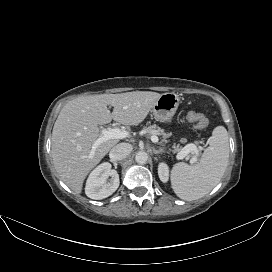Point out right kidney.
I'll return each mask as SVG.
<instances>
[{"instance_id":"ca27d5eb","label":"right kidney","mask_w":272,"mask_h":272,"mask_svg":"<svg viewBox=\"0 0 272 272\" xmlns=\"http://www.w3.org/2000/svg\"><path fill=\"white\" fill-rule=\"evenodd\" d=\"M111 177L107 182L108 177ZM119 187V174L111 169L110 163H103L96 167L89 175L85 193L94 200H101L112 195Z\"/></svg>"}]
</instances>
